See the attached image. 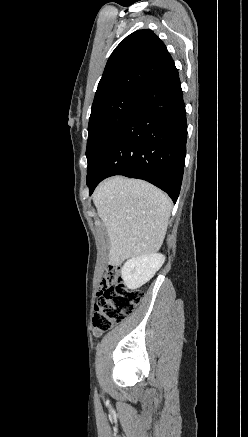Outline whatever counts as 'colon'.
Here are the masks:
<instances>
[{
	"label": "colon",
	"mask_w": 248,
	"mask_h": 437,
	"mask_svg": "<svg viewBox=\"0 0 248 437\" xmlns=\"http://www.w3.org/2000/svg\"><path fill=\"white\" fill-rule=\"evenodd\" d=\"M142 290H129L122 279L121 267L110 265L97 293L93 324L106 330L129 316L143 298Z\"/></svg>",
	"instance_id": "colon-1"
}]
</instances>
